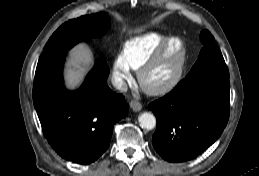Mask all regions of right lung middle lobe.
Returning a JSON list of instances; mask_svg holds the SVG:
<instances>
[{
  "label": "right lung middle lobe",
  "instance_id": "dd1d6c3e",
  "mask_svg": "<svg viewBox=\"0 0 259 176\" xmlns=\"http://www.w3.org/2000/svg\"><path fill=\"white\" fill-rule=\"evenodd\" d=\"M108 24L109 21L104 13L85 15L65 22L48 40L39 62L66 52L82 40L101 35Z\"/></svg>",
  "mask_w": 259,
  "mask_h": 176
}]
</instances>
